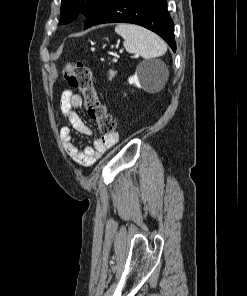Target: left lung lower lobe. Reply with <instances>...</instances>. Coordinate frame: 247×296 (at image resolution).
Returning <instances> with one entry per match:
<instances>
[{
  "label": "left lung lower lobe",
  "instance_id": "obj_1",
  "mask_svg": "<svg viewBox=\"0 0 247 296\" xmlns=\"http://www.w3.org/2000/svg\"><path fill=\"white\" fill-rule=\"evenodd\" d=\"M167 0H103L87 16L84 29L102 23H133L160 35L176 51L174 24Z\"/></svg>",
  "mask_w": 247,
  "mask_h": 296
}]
</instances>
